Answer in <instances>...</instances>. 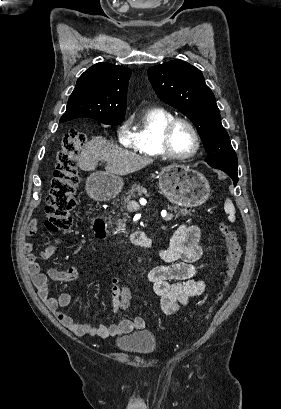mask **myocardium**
Here are the masks:
<instances>
[{"label":"myocardium","instance_id":"myocardium-1","mask_svg":"<svg viewBox=\"0 0 281 409\" xmlns=\"http://www.w3.org/2000/svg\"><path fill=\"white\" fill-rule=\"evenodd\" d=\"M178 125H184L185 127H187L194 138V142H195L194 150L191 153L186 154V155H181V154L176 153L172 147V135H173L175 128ZM160 143H161L162 150L166 154V156L172 159H176V160H187V159L194 157L198 153L200 149L201 141H200V136H199L198 131L196 130L194 125L189 120L182 118V117H175L165 125L162 135H161Z\"/></svg>","mask_w":281,"mask_h":409}]
</instances>
